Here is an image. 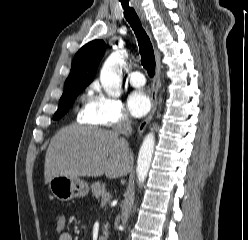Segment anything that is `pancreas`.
Wrapping results in <instances>:
<instances>
[{
  "instance_id": "pancreas-1",
  "label": "pancreas",
  "mask_w": 248,
  "mask_h": 240,
  "mask_svg": "<svg viewBox=\"0 0 248 240\" xmlns=\"http://www.w3.org/2000/svg\"><path fill=\"white\" fill-rule=\"evenodd\" d=\"M91 189H92V196L95 197L96 199H99L100 197H102V203H106L107 201H109L110 199V195L109 196H105V194L107 193L105 190V184L101 183V182H95L91 185ZM104 234L107 235L108 230L107 228H105L103 230Z\"/></svg>"
}]
</instances>
